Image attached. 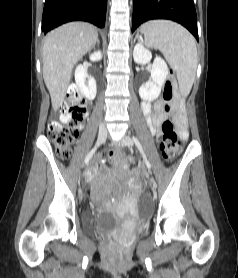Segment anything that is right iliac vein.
<instances>
[{"instance_id": "1", "label": "right iliac vein", "mask_w": 238, "mask_h": 278, "mask_svg": "<svg viewBox=\"0 0 238 278\" xmlns=\"http://www.w3.org/2000/svg\"><path fill=\"white\" fill-rule=\"evenodd\" d=\"M106 138H107V130L105 127L102 126V127H100L99 132H98V138H97L96 145L100 146L101 144H103L105 142ZM81 178H82V175H78L77 186H80Z\"/></svg>"}]
</instances>
